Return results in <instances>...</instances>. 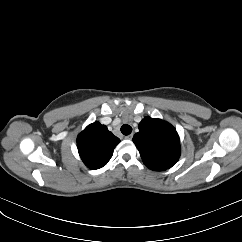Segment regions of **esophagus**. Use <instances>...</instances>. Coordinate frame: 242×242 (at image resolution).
<instances>
[{"label":"esophagus","mask_w":242,"mask_h":242,"mask_svg":"<svg viewBox=\"0 0 242 242\" xmlns=\"http://www.w3.org/2000/svg\"><path fill=\"white\" fill-rule=\"evenodd\" d=\"M133 138V134L125 136V139L131 140Z\"/></svg>","instance_id":"1"}]
</instances>
